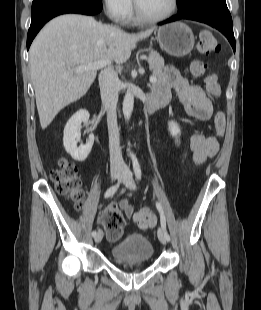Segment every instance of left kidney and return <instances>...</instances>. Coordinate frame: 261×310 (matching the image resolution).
<instances>
[{
    "label": "left kidney",
    "instance_id": "5707ae66",
    "mask_svg": "<svg viewBox=\"0 0 261 310\" xmlns=\"http://www.w3.org/2000/svg\"><path fill=\"white\" fill-rule=\"evenodd\" d=\"M168 130L170 134L177 139L178 142V136L181 134L179 125L174 121H170L168 123Z\"/></svg>",
    "mask_w": 261,
    "mask_h": 310
}]
</instances>
